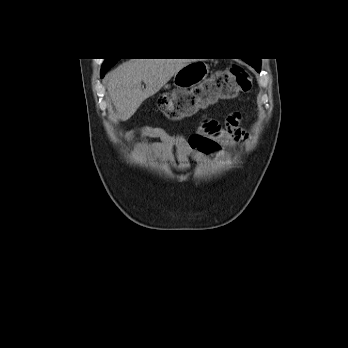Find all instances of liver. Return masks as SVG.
Returning <instances> with one entry per match:
<instances>
[{"label":"liver","instance_id":"liver-1","mask_svg":"<svg viewBox=\"0 0 348 348\" xmlns=\"http://www.w3.org/2000/svg\"><path fill=\"white\" fill-rule=\"evenodd\" d=\"M185 59H130L107 76V90L118 117L128 120L142 102L157 93L182 67ZM146 88L142 90L141 83Z\"/></svg>","mask_w":348,"mask_h":348}]
</instances>
